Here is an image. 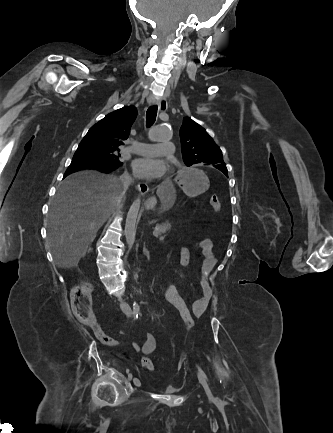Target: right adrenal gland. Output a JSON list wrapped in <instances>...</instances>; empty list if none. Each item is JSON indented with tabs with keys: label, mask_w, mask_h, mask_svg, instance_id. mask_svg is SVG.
Listing matches in <instances>:
<instances>
[{
	"label": "right adrenal gland",
	"mask_w": 333,
	"mask_h": 433,
	"mask_svg": "<svg viewBox=\"0 0 333 433\" xmlns=\"http://www.w3.org/2000/svg\"><path fill=\"white\" fill-rule=\"evenodd\" d=\"M92 250L91 246L88 247V252H90Z\"/></svg>",
	"instance_id": "right-adrenal-gland-1"
}]
</instances>
